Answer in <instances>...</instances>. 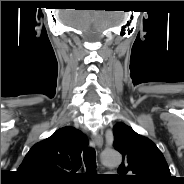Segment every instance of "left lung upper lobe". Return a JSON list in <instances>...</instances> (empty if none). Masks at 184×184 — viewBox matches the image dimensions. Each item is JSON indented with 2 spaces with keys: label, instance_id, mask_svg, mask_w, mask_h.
I'll return each mask as SVG.
<instances>
[{
  "label": "left lung upper lobe",
  "instance_id": "left-lung-upper-lobe-1",
  "mask_svg": "<svg viewBox=\"0 0 184 184\" xmlns=\"http://www.w3.org/2000/svg\"><path fill=\"white\" fill-rule=\"evenodd\" d=\"M114 148L123 160L115 176L126 184H171L173 177L161 151L148 138L119 122L113 128Z\"/></svg>",
  "mask_w": 184,
  "mask_h": 184
}]
</instances>
